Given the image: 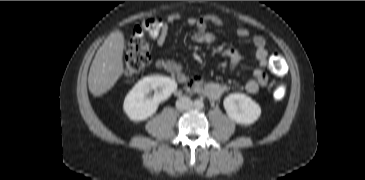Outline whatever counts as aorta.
<instances>
[{"mask_svg":"<svg viewBox=\"0 0 365 180\" xmlns=\"http://www.w3.org/2000/svg\"><path fill=\"white\" fill-rule=\"evenodd\" d=\"M194 106H195V108H197V109H201V108H203L204 104H203V102H202L201 100H196V101L194 102Z\"/></svg>","mask_w":365,"mask_h":180,"instance_id":"1","label":"aorta"}]
</instances>
